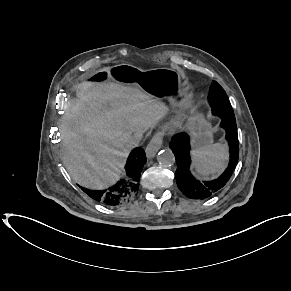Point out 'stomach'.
I'll list each match as a JSON object with an SVG mask.
<instances>
[{
    "label": "stomach",
    "mask_w": 291,
    "mask_h": 291,
    "mask_svg": "<svg viewBox=\"0 0 291 291\" xmlns=\"http://www.w3.org/2000/svg\"><path fill=\"white\" fill-rule=\"evenodd\" d=\"M92 81L100 89H109L116 81L136 85L154 98L167 99L171 106L177 109H186L191 98L183 72L172 68L141 70L130 65L114 68L100 66L94 71ZM81 83L87 85L89 80L83 78ZM187 128L192 134V144L195 148L212 143L211 125L201 114L192 112L188 118Z\"/></svg>",
    "instance_id": "stomach-1"
}]
</instances>
